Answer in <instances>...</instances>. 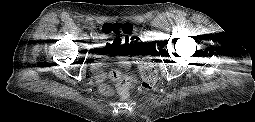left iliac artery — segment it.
<instances>
[{
  "label": "left iliac artery",
  "mask_w": 255,
  "mask_h": 122,
  "mask_svg": "<svg viewBox=\"0 0 255 122\" xmlns=\"http://www.w3.org/2000/svg\"><path fill=\"white\" fill-rule=\"evenodd\" d=\"M145 35L150 36V35H151V32H150V31H147V32L145 33Z\"/></svg>",
  "instance_id": "44dca946"
}]
</instances>
